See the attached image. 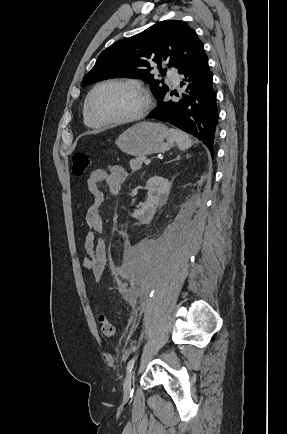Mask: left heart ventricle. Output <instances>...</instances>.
<instances>
[{
    "label": "left heart ventricle",
    "instance_id": "obj_1",
    "mask_svg": "<svg viewBox=\"0 0 287 434\" xmlns=\"http://www.w3.org/2000/svg\"><path fill=\"white\" fill-rule=\"evenodd\" d=\"M91 105L98 118L122 119L139 112L144 105V99L133 88L111 84L96 91Z\"/></svg>",
    "mask_w": 287,
    "mask_h": 434
}]
</instances>
